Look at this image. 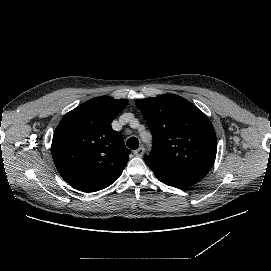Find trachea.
<instances>
[{
	"label": "trachea",
	"instance_id": "obj_1",
	"mask_svg": "<svg viewBox=\"0 0 271 271\" xmlns=\"http://www.w3.org/2000/svg\"><path fill=\"white\" fill-rule=\"evenodd\" d=\"M126 144L130 149H137L139 147V140L136 137H131Z\"/></svg>",
	"mask_w": 271,
	"mask_h": 271
}]
</instances>
